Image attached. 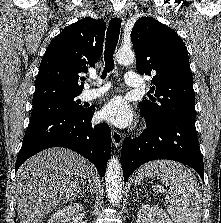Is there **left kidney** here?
Returning a JSON list of instances; mask_svg holds the SVG:
<instances>
[{
  "label": "left kidney",
  "instance_id": "left-kidney-1",
  "mask_svg": "<svg viewBox=\"0 0 221 223\" xmlns=\"http://www.w3.org/2000/svg\"><path fill=\"white\" fill-rule=\"evenodd\" d=\"M137 223H173L166 212L154 205H143L137 212Z\"/></svg>",
  "mask_w": 221,
  "mask_h": 223
}]
</instances>
